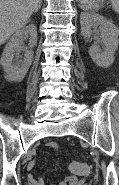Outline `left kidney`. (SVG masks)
I'll use <instances>...</instances> for the list:
<instances>
[{
	"mask_svg": "<svg viewBox=\"0 0 119 185\" xmlns=\"http://www.w3.org/2000/svg\"><path fill=\"white\" fill-rule=\"evenodd\" d=\"M80 24L81 34L85 37L91 36L92 27H99L101 31L99 43L104 46V51L100 50L96 42L89 48V55L97 66L108 68L114 62V53L119 43V29L112 20L94 12H82Z\"/></svg>",
	"mask_w": 119,
	"mask_h": 185,
	"instance_id": "obj_1",
	"label": "left kidney"
}]
</instances>
